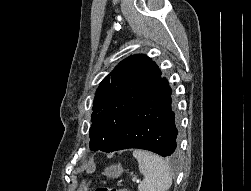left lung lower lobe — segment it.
Here are the masks:
<instances>
[{
	"mask_svg": "<svg viewBox=\"0 0 251 191\" xmlns=\"http://www.w3.org/2000/svg\"><path fill=\"white\" fill-rule=\"evenodd\" d=\"M172 90L159 78L137 103L108 152L138 148L163 157L178 152Z\"/></svg>",
	"mask_w": 251,
	"mask_h": 191,
	"instance_id": "obj_1",
	"label": "left lung lower lobe"
}]
</instances>
